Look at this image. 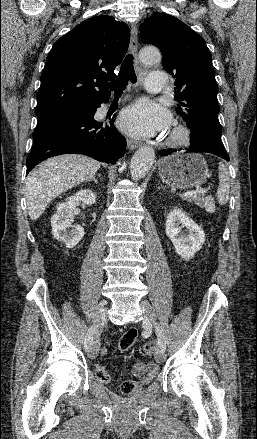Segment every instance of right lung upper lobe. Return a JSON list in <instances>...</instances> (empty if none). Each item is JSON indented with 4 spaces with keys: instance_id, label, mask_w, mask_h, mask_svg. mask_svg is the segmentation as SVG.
<instances>
[{
    "instance_id": "right-lung-upper-lobe-1",
    "label": "right lung upper lobe",
    "mask_w": 257,
    "mask_h": 439,
    "mask_svg": "<svg viewBox=\"0 0 257 439\" xmlns=\"http://www.w3.org/2000/svg\"><path fill=\"white\" fill-rule=\"evenodd\" d=\"M129 40L128 26L107 15L91 17L59 38L41 74L37 118L107 101V82L116 77Z\"/></svg>"
}]
</instances>
